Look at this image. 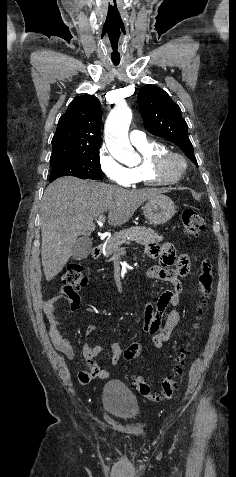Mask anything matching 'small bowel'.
<instances>
[{"label":"small bowel","mask_w":236,"mask_h":477,"mask_svg":"<svg viewBox=\"0 0 236 477\" xmlns=\"http://www.w3.org/2000/svg\"><path fill=\"white\" fill-rule=\"evenodd\" d=\"M146 253L150 258H158L159 263L150 268L149 275L154 279L172 284L170 289L161 293L155 305L147 303L144 306L142 328L150 335L151 344L154 348L160 349L168 341L179 324L180 313L178 310H171L162 324V318L169 307L176 308L180 304V296L183 292V285L180 278L183 277L190 267V258L187 254L177 255L173 245L165 242L161 245L149 244ZM188 257V263L184 265L182 256ZM65 299L70 310H76L80 305V297L76 294L68 295L61 290L57 296L45 300L42 304L43 312L49 324V336L57 350L64 353L69 358L73 357V349L68 340L60 331V324L55 316V305ZM97 331V326L88 325L85 328V335L90 336ZM111 363L117 365L120 362L123 348L118 343L111 344ZM100 345L91 346L84 344L82 354L87 364V370L78 373V381L81 384H88L92 379H107L110 374L107 370L100 368L95 359L103 352Z\"/></svg>","instance_id":"c3829d8e"}]
</instances>
